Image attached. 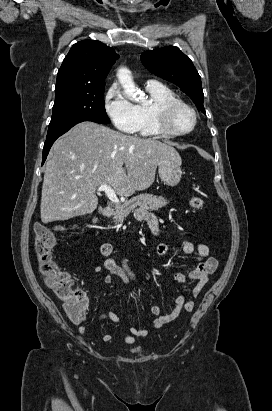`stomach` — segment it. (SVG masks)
Returning <instances> with one entry per match:
<instances>
[{
    "instance_id": "1",
    "label": "stomach",
    "mask_w": 272,
    "mask_h": 411,
    "mask_svg": "<svg viewBox=\"0 0 272 411\" xmlns=\"http://www.w3.org/2000/svg\"><path fill=\"white\" fill-rule=\"evenodd\" d=\"M158 175L164 184L176 186L181 179V163L173 159H165L158 163Z\"/></svg>"
}]
</instances>
